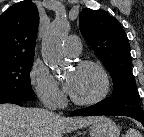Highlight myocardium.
Masks as SVG:
<instances>
[{
	"label": "myocardium",
	"mask_w": 144,
	"mask_h": 137,
	"mask_svg": "<svg viewBox=\"0 0 144 137\" xmlns=\"http://www.w3.org/2000/svg\"><path fill=\"white\" fill-rule=\"evenodd\" d=\"M75 68L77 69H82V68H93L95 69L102 77L103 81V86L101 92L94 98L89 99V100H78L75 97H73L71 94L69 95L70 101L77 105V106H83V107H89V106H94L102 102L108 95L109 90H110V77L105 69V67L93 60H82L79 61L76 65Z\"/></svg>",
	"instance_id": "myocardium-1"
}]
</instances>
